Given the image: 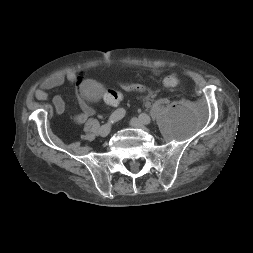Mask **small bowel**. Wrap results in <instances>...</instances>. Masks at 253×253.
I'll use <instances>...</instances> for the list:
<instances>
[{"label":"small bowel","mask_w":253,"mask_h":253,"mask_svg":"<svg viewBox=\"0 0 253 253\" xmlns=\"http://www.w3.org/2000/svg\"><path fill=\"white\" fill-rule=\"evenodd\" d=\"M154 75L159 76L162 74V70H154ZM82 77L77 75L75 72H67L63 74H57L45 79L38 90L35 92V97L39 101H46L48 99V91L63 85L65 82L69 84H79ZM80 106V112L74 116V120L78 124H83L89 117L94 114V110L88 105V103L81 97H78ZM53 107L57 114H61L65 110V103L62 97L56 96L53 99Z\"/></svg>","instance_id":"obj_1"}]
</instances>
